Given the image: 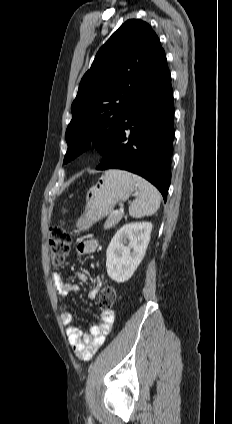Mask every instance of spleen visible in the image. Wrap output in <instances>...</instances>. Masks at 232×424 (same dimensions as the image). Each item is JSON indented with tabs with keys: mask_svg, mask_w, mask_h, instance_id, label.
I'll return each instance as SVG.
<instances>
[{
	"mask_svg": "<svg viewBox=\"0 0 232 424\" xmlns=\"http://www.w3.org/2000/svg\"><path fill=\"white\" fill-rule=\"evenodd\" d=\"M132 176L137 183L139 193L129 206L130 216L140 218L153 215L160 207L161 196L159 191L142 177L135 174Z\"/></svg>",
	"mask_w": 232,
	"mask_h": 424,
	"instance_id": "1",
	"label": "spleen"
}]
</instances>
